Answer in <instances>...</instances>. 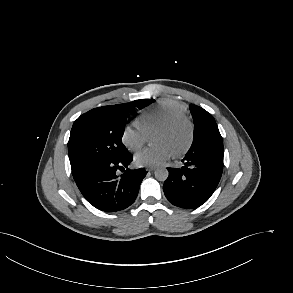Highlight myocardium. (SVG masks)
<instances>
[{
	"mask_svg": "<svg viewBox=\"0 0 293 293\" xmlns=\"http://www.w3.org/2000/svg\"><path fill=\"white\" fill-rule=\"evenodd\" d=\"M181 125L187 126L189 134H188V140H187L186 144L184 145V147L181 148L180 150L174 152V156H176V157H180V156L185 155L190 150V148L193 144L194 135H195L193 122L187 116H180V117H176V118L160 125L157 128L158 130L170 131V130H173Z\"/></svg>",
	"mask_w": 293,
	"mask_h": 293,
	"instance_id": "f54148a6",
	"label": "myocardium"
}]
</instances>
